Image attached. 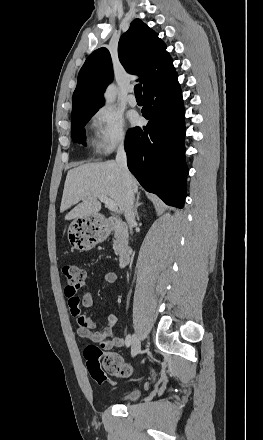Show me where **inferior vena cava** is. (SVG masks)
I'll list each match as a JSON object with an SVG mask.
<instances>
[{"mask_svg":"<svg viewBox=\"0 0 263 440\" xmlns=\"http://www.w3.org/2000/svg\"><path fill=\"white\" fill-rule=\"evenodd\" d=\"M116 163L120 168V172L124 184V194H123L124 215L130 227V231L132 232V226L135 223L134 192L131 187V174L127 167V155L123 143L120 144L117 150Z\"/></svg>","mask_w":263,"mask_h":440,"instance_id":"obj_1","label":"inferior vena cava"}]
</instances>
